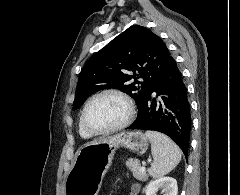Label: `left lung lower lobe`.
Masks as SVG:
<instances>
[{
    "instance_id": "1",
    "label": "left lung lower lobe",
    "mask_w": 240,
    "mask_h": 195,
    "mask_svg": "<svg viewBox=\"0 0 240 195\" xmlns=\"http://www.w3.org/2000/svg\"><path fill=\"white\" fill-rule=\"evenodd\" d=\"M126 129L162 132L173 139L188 156L190 104L182 74L173 58L169 60L164 74L150 87L136 120Z\"/></svg>"
}]
</instances>
